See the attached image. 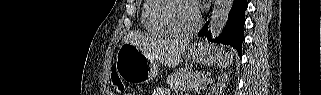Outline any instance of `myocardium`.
Masks as SVG:
<instances>
[{
	"instance_id": "f54148a6",
	"label": "myocardium",
	"mask_w": 321,
	"mask_h": 95,
	"mask_svg": "<svg viewBox=\"0 0 321 95\" xmlns=\"http://www.w3.org/2000/svg\"><path fill=\"white\" fill-rule=\"evenodd\" d=\"M177 1H183L188 4H190L194 11H195V17L196 21L195 24L188 30H178L174 28L165 18L164 16V11L169 7V5L172 2H177ZM158 5L154 8L153 11V17L154 21L162 28L164 29L168 34L173 35V36H178V37H187L195 32L198 31V29L201 26L202 19H201V14L200 11L197 7V5L191 1V0H158Z\"/></svg>"
}]
</instances>
